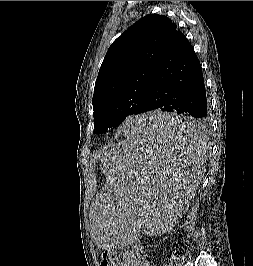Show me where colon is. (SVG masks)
<instances>
[{"label":"colon","instance_id":"5ec220e1","mask_svg":"<svg viewBox=\"0 0 253 266\" xmlns=\"http://www.w3.org/2000/svg\"><path fill=\"white\" fill-rule=\"evenodd\" d=\"M100 266H120V261L115 253L105 252L102 255Z\"/></svg>","mask_w":253,"mask_h":266}]
</instances>
